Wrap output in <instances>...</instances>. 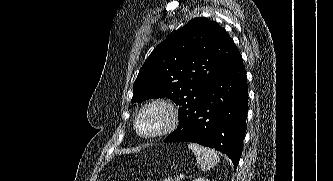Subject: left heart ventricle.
<instances>
[{
	"label": "left heart ventricle",
	"mask_w": 333,
	"mask_h": 181,
	"mask_svg": "<svg viewBox=\"0 0 333 181\" xmlns=\"http://www.w3.org/2000/svg\"><path fill=\"white\" fill-rule=\"evenodd\" d=\"M165 121L164 113L159 109H151L145 112L138 122L139 131L148 134L160 129Z\"/></svg>",
	"instance_id": "1"
}]
</instances>
